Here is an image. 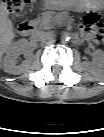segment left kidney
<instances>
[{
  "label": "left kidney",
  "mask_w": 104,
  "mask_h": 137,
  "mask_svg": "<svg viewBox=\"0 0 104 137\" xmlns=\"http://www.w3.org/2000/svg\"><path fill=\"white\" fill-rule=\"evenodd\" d=\"M103 61H104L103 52H102L101 50H97V51L95 52L94 62H95L98 66H102V65H103Z\"/></svg>",
  "instance_id": "obj_1"
}]
</instances>
